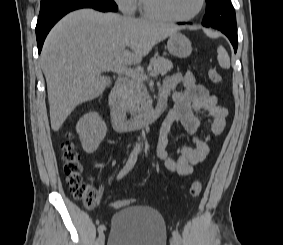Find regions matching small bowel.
<instances>
[{
	"instance_id": "1",
	"label": "small bowel",
	"mask_w": 283,
	"mask_h": 245,
	"mask_svg": "<svg viewBox=\"0 0 283 245\" xmlns=\"http://www.w3.org/2000/svg\"><path fill=\"white\" fill-rule=\"evenodd\" d=\"M181 85L184 90L179 89ZM161 94L171 99L174 107L160 129L157 157L169 171L190 175L208 156L210 142L223 133L228 110L188 71L167 76ZM175 124L192 136L193 146L172 144L170 134Z\"/></svg>"
}]
</instances>
